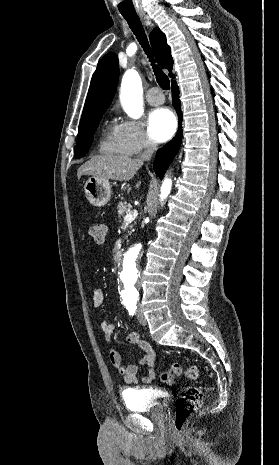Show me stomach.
<instances>
[{"label": "stomach", "mask_w": 279, "mask_h": 465, "mask_svg": "<svg viewBox=\"0 0 279 465\" xmlns=\"http://www.w3.org/2000/svg\"><path fill=\"white\" fill-rule=\"evenodd\" d=\"M84 193L93 206H104L111 197L110 182L107 179L91 176L84 184Z\"/></svg>", "instance_id": "1"}]
</instances>
